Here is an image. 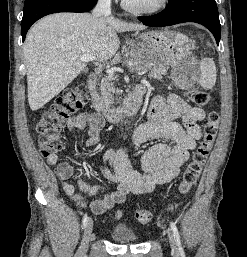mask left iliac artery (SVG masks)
<instances>
[{
    "mask_svg": "<svg viewBox=\"0 0 247 257\" xmlns=\"http://www.w3.org/2000/svg\"><path fill=\"white\" fill-rule=\"evenodd\" d=\"M170 227H171V230L173 231V234L176 239V243H177L179 250L181 252H183V248H182L181 241H180V235H179V232H178V229H177L175 223L170 222Z\"/></svg>",
    "mask_w": 247,
    "mask_h": 257,
    "instance_id": "1",
    "label": "left iliac artery"
}]
</instances>
